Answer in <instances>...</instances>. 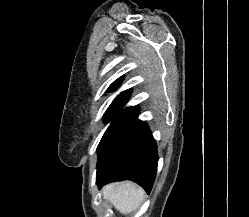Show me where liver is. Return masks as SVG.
Here are the masks:
<instances>
[{"mask_svg":"<svg viewBox=\"0 0 249 217\" xmlns=\"http://www.w3.org/2000/svg\"><path fill=\"white\" fill-rule=\"evenodd\" d=\"M144 196V190L132 182L112 183L103 188V198L125 215L135 211Z\"/></svg>","mask_w":249,"mask_h":217,"instance_id":"6515ba94","label":"liver"}]
</instances>
